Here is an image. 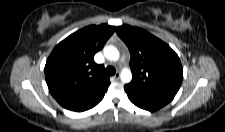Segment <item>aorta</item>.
I'll list each match as a JSON object with an SVG mask.
<instances>
[{"mask_svg": "<svg viewBox=\"0 0 225 132\" xmlns=\"http://www.w3.org/2000/svg\"><path fill=\"white\" fill-rule=\"evenodd\" d=\"M106 59L110 61H117L120 58V53L115 46L108 45L103 49ZM120 79L123 83H129L132 80V73L128 68H123L120 72Z\"/></svg>", "mask_w": 225, "mask_h": 132, "instance_id": "aorta-1", "label": "aorta"}]
</instances>
